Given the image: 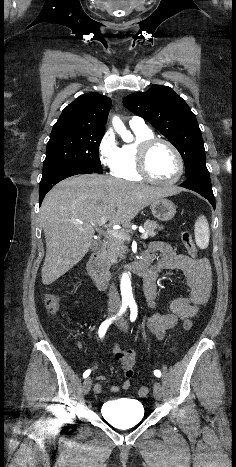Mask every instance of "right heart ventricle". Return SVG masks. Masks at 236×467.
Masks as SVG:
<instances>
[{
  "label": "right heart ventricle",
  "mask_w": 236,
  "mask_h": 467,
  "mask_svg": "<svg viewBox=\"0 0 236 467\" xmlns=\"http://www.w3.org/2000/svg\"><path fill=\"white\" fill-rule=\"evenodd\" d=\"M132 130L136 137L135 141L120 147L118 163L111 171L114 177L128 181H141L143 178L136 169V149L142 140L152 137L153 132L148 127L132 128Z\"/></svg>",
  "instance_id": "1"
}]
</instances>
